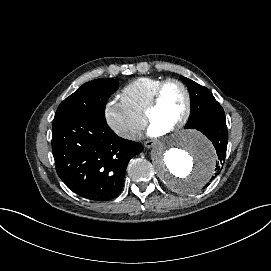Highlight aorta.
<instances>
[{"label": "aorta", "mask_w": 271, "mask_h": 271, "mask_svg": "<svg viewBox=\"0 0 271 271\" xmlns=\"http://www.w3.org/2000/svg\"><path fill=\"white\" fill-rule=\"evenodd\" d=\"M154 170L173 192H199L214 174L216 154L210 141L196 130H181L155 144Z\"/></svg>", "instance_id": "obj_1"}]
</instances>
